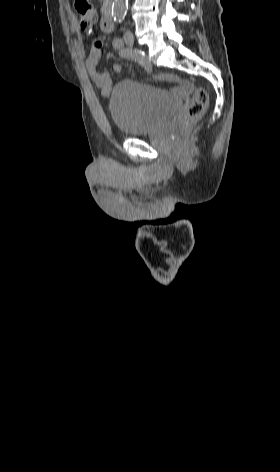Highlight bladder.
<instances>
[{"instance_id": "obj_1", "label": "bladder", "mask_w": 280, "mask_h": 472, "mask_svg": "<svg viewBox=\"0 0 280 472\" xmlns=\"http://www.w3.org/2000/svg\"><path fill=\"white\" fill-rule=\"evenodd\" d=\"M180 102L168 91L139 81L119 83L110 98V114L127 136L148 134L179 109Z\"/></svg>"}]
</instances>
